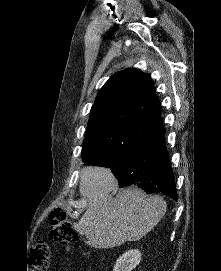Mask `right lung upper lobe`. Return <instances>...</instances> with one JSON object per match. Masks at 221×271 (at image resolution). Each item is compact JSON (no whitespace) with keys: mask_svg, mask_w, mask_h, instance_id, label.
I'll return each instance as SVG.
<instances>
[{"mask_svg":"<svg viewBox=\"0 0 221 271\" xmlns=\"http://www.w3.org/2000/svg\"><path fill=\"white\" fill-rule=\"evenodd\" d=\"M160 116V102L149 74L126 69L111 76L98 93L86 134L107 127L148 131L162 121Z\"/></svg>","mask_w":221,"mask_h":271,"instance_id":"cb5924a9","label":"right lung upper lobe"}]
</instances>
